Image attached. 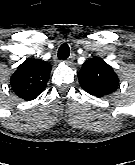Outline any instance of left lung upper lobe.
Wrapping results in <instances>:
<instances>
[{
	"mask_svg": "<svg viewBox=\"0 0 135 165\" xmlns=\"http://www.w3.org/2000/svg\"><path fill=\"white\" fill-rule=\"evenodd\" d=\"M78 77L81 87L96 97L111 94L119 84V78L113 68L99 57L85 61Z\"/></svg>",
	"mask_w": 135,
	"mask_h": 165,
	"instance_id": "obj_1",
	"label": "left lung upper lobe"
}]
</instances>
